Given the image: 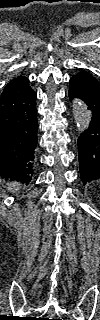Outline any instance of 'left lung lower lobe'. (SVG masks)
Masks as SVG:
<instances>
[{"mask_svg": "<svg viewBox=\"0 0 100 320\" xmlns=\"http://www.w3.org/2000/svg\"><path fill=\"white\" fill-rule=\"evenodd\" d=\"M69 83L70 100H82L92 116L88 128L80 133L77 141L81 179L89 182L100 178V83L84 70L74 75Z\"/></svg>", "mask_w": 100, "mask_h": 320, "instance_id": "left-lung-lower-lobe-1", "label": "left lung lower lobe"}]
</instances>
